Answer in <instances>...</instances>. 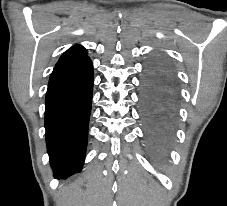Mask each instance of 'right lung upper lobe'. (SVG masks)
Wrapping results in <instances>:
<instances>
[{"label": "right lung upper lobe", "instance_id": "right-lung-upper-lobe-1", "mask_svg": "<svg viewBox=\"0 0 227 206\" xmlns=\"http://www.w3.org/2000/svg\"><path fill=\"white\" fill-rule=\"evenodd\" d=\"M87 56V51L84 47H82L81 45H75L72 46L70 49H68L59 59V61L57 62L56 65L73 60V59H77V58H81V57H85Z\"/></svg>", "mask_w": 227, "mask_h": 206}]
</instances>
